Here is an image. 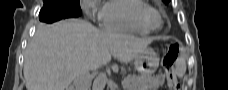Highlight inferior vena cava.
Returning <instances> with one entry per match:
<instances>
[{
    "instance_id": "inferior-vena-cava-1",
    "label": "inferior vena cava",
    "mask_w": 228,
    "mask_h": 90,
    "mask_svg": "<svg viewBox=\"0 0 228 90\" xmlns=\"http://www.w3.org/2000/svg\"><path fill=\"white\" fill-rule=\"evenodd\" d=\"M90 85H91V80L88 72L79 73L74 78V82H73L74 90H89Z\"/></svg>"
}]
</instances>
